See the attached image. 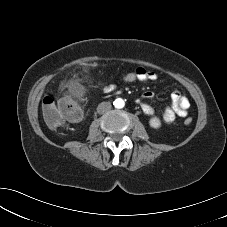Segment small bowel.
Returning <instances> with one entry per match:
<instances>
[{
    "label": "small bowel",
    "mask_w": 227,
    "mask_h": 227,
    "mask_svg": "<svg viewBox=\"0 0 227 227\" xmlns=\"http://www.w3.org/2000/svg\"><path fill=\"white\" fill-rule=\"evenodd\" d=\"M139 73V81H154L157 79V74L153 71H149L143 67L136 68ZM115 89V85L109 84L104 87L105 92H111ZM154 97L153 92L147 91L142 95V99L137 100V103L140 105L141 109L146 115H153L154 109L149 105L146 100H150ZM190 107V102L188 98L182 95L179 92H173L171 95V105L165 107L162 110L161 118L165 124H171L176 116L183 117L187 114V110Z\"/></svg>",
    "instance_id": "1"
}]
</instances>
